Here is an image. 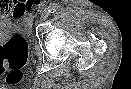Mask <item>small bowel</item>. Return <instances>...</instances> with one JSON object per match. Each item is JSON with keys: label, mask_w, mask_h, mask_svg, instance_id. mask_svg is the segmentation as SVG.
Returning a JSON list of instances; mask_svg holds the SVG:
<instances>
[{"label": "small bowel", "mask_w": 131, "mask_h": 89, "mask_svg": "<svg viewBox=\"0 0 131 89\" xmlns=\"http://www.w3.org/2000/svg\"><path fill=\"white\" fill-rule=\"evenodd\" d=\"M6 5V4H5ZM10 5V11L7 12L5 8L0 9V27L7 28L11 25L13 18H19L24 14L31 15L35 12V3L27 1L23 3L8 2L7 6ZM6 6V7H7Z\"/></svg>", "instance_id": "small-bowel-1"}]
</instances>
